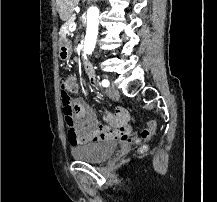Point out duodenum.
Instances as JSON below:
<instances>
[{
  "instance_id": "duodenum-1",
  "label": "duodenum",
  "mask_w": 217,
  "mask_h": 202,
  "mask_svg": "<svg viewBox=\"0 0 217 202\" xmlns=\"http://www.w3.org/2000/svg\"><path fill=\"white\" fill-rule=\"evenodd\" d=\"M84 70L87 74V76L92 79L95 77L94 67L92 63L89 60H85L84 62Z\"/></svg>"
}]
</instances>
